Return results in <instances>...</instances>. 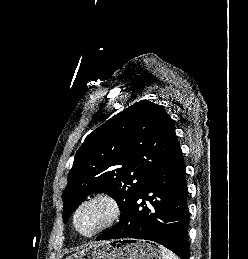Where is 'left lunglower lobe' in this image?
Listing matches in <instances>:
<instances>
[{
  "instance_id": "left-lung-lower-lobe-1",
  "label": "left lung lower lobe",
  "mask_w": 248,
  "mask_h": 259,
  "mask_svg": "<svg viewBox=\"0 0 248 259\" xmlns=\"http://www.w3.org/2000/svg\"><path fill=\"white\" fill-rule=\"evenodd\" d=\"M181 148L174 152L130 203L120 221L96 240L137 238L157 242L189 259L188 188Z\"/></svg>"
}]
</instances>
